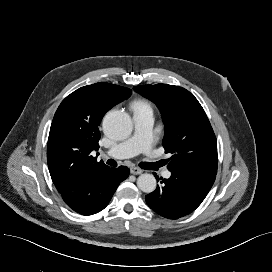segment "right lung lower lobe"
Segmentation results:
<instances>
[{"label": "right lung lower lobe", "mask_w": 272, "mask_h": 272, "mask_svg": "<svg viewBox=\"0 0 272 272\" xmlns=\"http://www.w3.org/2000/svg\"><path fill=\"white\" fill-rule=\"evenodd\" d=\"M129 175L125 166L107 168L102 173L87 179L79 189L63 194L65 203L82 215H92L103 210L111 200L118 185Z\"/></svg>", "instance_id": "right-lung-lower-lobe-1"}]
</instances>
